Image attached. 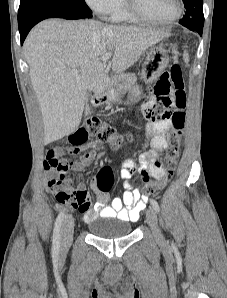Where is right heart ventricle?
Masks as SVG:
<instances>
[{
	"instance_id": "obj_1",
	"label": "right heart ventricle",
	"mask_w": 227,
	"mask_h": 298,
	"mask_svg": "<svg viewBox=\"0 0 227 298\" xmlns=\"http://www.w3.org/2000/svg\"><path fill=\"white\" fill-rule=\"evenodd\" d=\"M110 17H111V20L114 22H127V23L138 22L126 10L124 0H121V3L118 9Z\"/></svg>"
}]
</instances>
